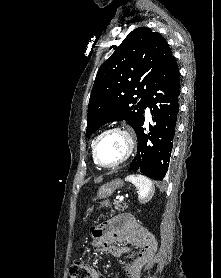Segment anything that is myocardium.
I'll return each instance as SVG.
<instances>
[{"instance_id": "myocardium-1", "label": "myocardium", "mask_w": 221, "mask_h": 278, "mask_svg": "<svg viewBox=\"0 0 221 278\" xmlns=\"http://www.w3.org/2000/svg\"><path fill=\"white\" fill-rule=\"evenodd\" d=\"M113 132L119 133L125 138V140H126V152H125V155L123 156V158L120 159L118 162H116L114 164H111V165H104V164L100 163V161L98 160L97 152H96L97 144L103 136H105L108 133H113ZM134 147H135L134 139H133L132 135L126 129L121 128V127H111V128H108V129L104 130L103 132H101L95 138V140L92 144V157H93L94 163L96 165H98L99 167L104 168V169H115V168L121 166L122 164H124L125 162L128 161V159L133 154Z\"/></svg>"}]
</instances>
